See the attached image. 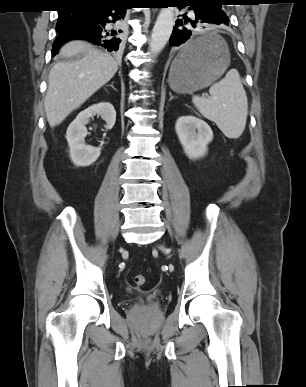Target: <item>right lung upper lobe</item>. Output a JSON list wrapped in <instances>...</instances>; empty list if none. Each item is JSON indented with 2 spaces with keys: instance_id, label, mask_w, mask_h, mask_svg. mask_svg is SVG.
<instances>
[{
  "instance_id": "right-lung-upper-lobe-1",
  "label": "right lung upper lobe",
  "mask_w": 306,
  "mask_h": 387,
  "mask_svg": "<svg viewBox=\"0 0 306 387\" xmlns=\"http://www.w3.org/2000/svg\"><path fill=\"white\" fill-rule=\"evenodd\" d=\"M64 7H100L119 0H62ZM61 10L60 12L64 11Z\"/></svg>"
}]
</instances>
